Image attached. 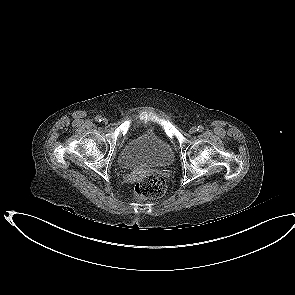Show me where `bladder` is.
I'll use <instances>...</instances> for the list:
<instances>
[{
  "mask_svg": "<svg viewBox=\"0 0 295 295\" xmlns=\"http://www.w3.org/2000/svg\"><path fill=\"white\" fill-rule=\"evenodd\" d=\"M174 160L170 144L152 130L133 137L119 153L120 165L125 169L166 167Z\"/></svg>",
  "mask_w": 295,
  "mask_h": 295,
  "instance_id": "1",
  "label": "bladder"
}]
</instances>
